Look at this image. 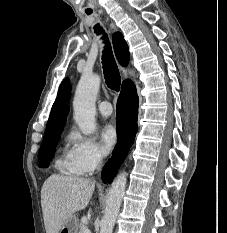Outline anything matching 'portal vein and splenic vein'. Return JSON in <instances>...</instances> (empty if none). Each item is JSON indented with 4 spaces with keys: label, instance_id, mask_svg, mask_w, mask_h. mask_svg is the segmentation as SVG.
<instances>
[{
    "label": "portal vein and splenic vein",
    "instance_id": "obj_1",
    "mask_svg": "<svg viewBox=\"0 0 227 233\" xmlns=\"http://www.w3.org/2000/svg\"><path fill=\"white\" fill-rule=\"evenodd\" d=\"M84 233H91V231H90L88 228H86V229L84 230Z\"/></svg>",
    "mask_w": 227,
    "mask_h": 233
}]
</instances>
